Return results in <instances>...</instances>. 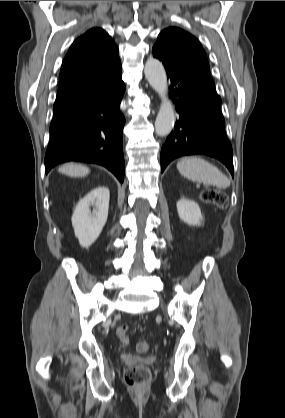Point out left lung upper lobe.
Listing matches in <instances>:
<instances>
[{"label":"left lung upper lobe","mask_w":285,"mask_h":418,"mask_svg":"<svg viewBox=\"0 0 285 418\" xmlns=\"http://www.w3.org/2000/svg\"><path fill=\"white\" fill-rule=\"evenodd\" d=\"M157 41L166 43L211 77L206 53L193 35L177 27H168L159 34Z\"/></svg>","instance_id":"left-lung-upper-lobe-1"}]
</instances>
